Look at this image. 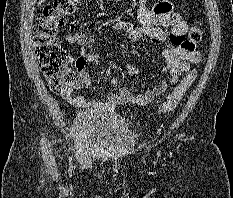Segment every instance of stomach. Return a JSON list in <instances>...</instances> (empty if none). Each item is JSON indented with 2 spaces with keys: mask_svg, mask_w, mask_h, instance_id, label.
Here are the masks:
<instances>
[{
  "mask_svg": "<svg viewBox=\"0 0 233 198\" xmlns=\"http://www.w3.org/2000/svg\"><path fill=\"white\" fill-rule=\"evenodd\" d=\"M112 1H122V0H112Z\"/></svg>",
  "mask_w": 233,
  "mask_h": 198,
  "instance_id": "stomach-1",
  "label": "stomach"
}]
</instances>
